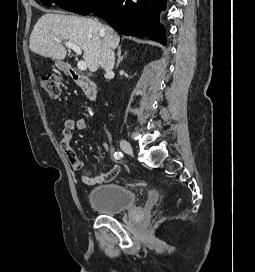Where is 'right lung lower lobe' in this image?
<instances>
[{"label":"right lung lower lobe","mask_w":255,"mask_h":272,"mask_svg":"<svg viewBox=\"0 0 255 272\" xmlns=\"http://www.w3.org/2000/svg\"><path fill=\"white\" fill-rule=\"evenodd\" d=\"M165 3L166 0H101L92 12L121 34L146 36L166 45L165 29L159 24Z\"/></svg>","instance_id":"1"}]
</instances>
